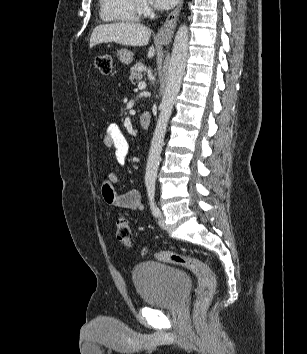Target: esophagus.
Segmentation results:
<instances>
[{"label": "esophagus", "mask_w": 307, "mask_h": 354, "mask_svg": "<svg viewBox=\"0 0 307 354\" xmlns=\"http://www.w3.org/2000/svg\"><path fill=\"white\" fill-rule=\"evenodd\" d=\"M182 5L183 0H180L178 6L168 15L165 23L157 33L158 39L167 41L173 37Z\"/></svg>", "instance_id": "34e87169"}]
</instances>
